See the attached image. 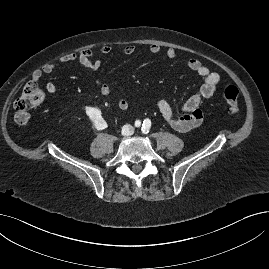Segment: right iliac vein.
Wrapping results in <instances>:
<instances>
[{
    "label": "right iliac vein",
    "mask_w": 269,
    "mask_h": 269,
    "mask_svg": "<svg viewBox=\"0 0 269 269\" xmlns=\"http://www.w3.org/2000/svg\"><path fill=\"white\" fill-rule=\"evenodd\" d=\"M128 131H129L128 127H125V128L122 130V134H123V135H127Z\"/></svg>",
    "instance_id": "63e3f726"
}]
</instances>
